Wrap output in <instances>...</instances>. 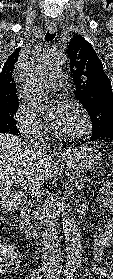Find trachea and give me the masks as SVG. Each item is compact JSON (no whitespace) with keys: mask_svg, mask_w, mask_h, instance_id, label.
Wrapping results in <instances>:
<instances>
[{"mask_svg":"<svg viewBox=\"0 0 113 279\" xmlns=\"http://www.w3.org/2000/svg\"><path fill=\"white\" fill-rule=\"evenodd\" d=\"M55 35H56V33H50V32L48 31V32L46 33V35H45V40H46V41H51V40L54 39Z\"/></svg>","mask_w":113,"mask_h":279,"instance_id":"3493384b","label":"trachea"}]
</instances>
